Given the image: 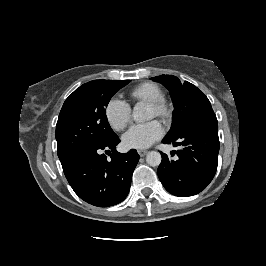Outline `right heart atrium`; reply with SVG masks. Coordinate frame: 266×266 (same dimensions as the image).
I'll list each match as a JSON object with an SVG mask.
<instances>
[{
    "label": "right heart atrium",
    "instance_id": "d8ad5b80",
    "mask_svg": "<svg viewBox=\"0 0 266 266\" xmlns=\"http://www.w3.org/2000/svg\"><path fill=\"white\" fill-rule=\"evenodd\" d=\"M105 115L111 127L121 131L131 121V108L125 101L114 97L109 100L105 109Z\"/></svg>",
    "mask_w": 266,
    "mask_h": 266
}]
</instances>
